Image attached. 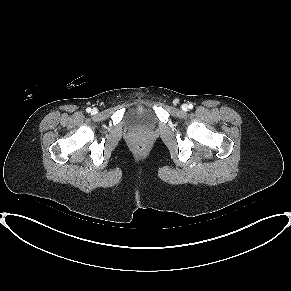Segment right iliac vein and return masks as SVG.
<instances>
[{
  "mask_svg": "<svg viewBox=\"0 0 291 291\" xmlns=\"http://www.w3.org/2000/svg\"><path fill=\"white\" fill-rule=\"evenodd\" d=\"M96 113H97V109L94 108V109L92 110V114H96Z\"/></svg>",
  "mask_w": 291,
  "mask_h": 291,
  "instance_id": "63e3f726",
  "label": "right iliac vein"
}]
</instances>
